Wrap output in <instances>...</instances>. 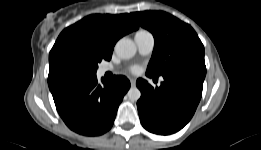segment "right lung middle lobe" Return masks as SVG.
<instances>
[{"label": "right lung middle lobe", "instance_id": "dd1d6c3e", "mask_svg": "<svg viewBox=\"0 0 261 150\" xmlns=\"http://www.w3.org/2000/svg\"><path fill=\"white\" fill-rule=\"evenodd\" d=\"M102 59L82 48H73L63 54L62 65L71 76L80 77L86 74L96 76L98 63Z\"/></svg>", "mask_w": 261, "mask_h": 150}]
</instances>
